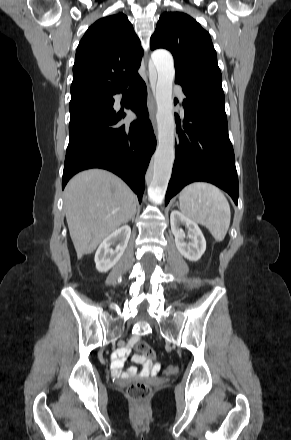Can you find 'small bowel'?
<instances>
[{
    "label": "small bowel",
    "instance_id": "c3829d8e",
    "mask_svg": "<svg viewBox=\"0 0 291 440\" xmlns=\"http://www.w3.org/2000/svg\"><path fill=\"white\" fill-rule=\"evenodd\" d=\"M137 338L134 337L130 340L129 344L118 349L119 357H115L112 361V373L115 377L120 379H126L128 377L148 378L154 377L159 373L160 365L153 363L145 358H134L136 363L142 364V368L137 370L136 367L130 366L126 371L123 370L124 355H127L131 347L136 343ZM173 369L178 371L179 366L175 364Z\"/></svg>",
    "mask_w": 291,
    "mask_h": 440
}]
</instances>
